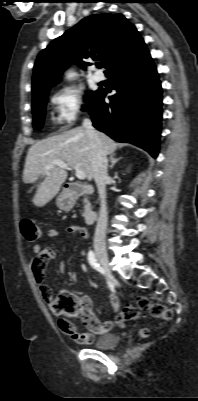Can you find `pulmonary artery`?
Wrapping results in <instances>:
<instances>
[{"label":"pulmonary artery","instance_id":"e3ab8cb5","mask_svg":"<svg viewBox=\"0 0 198 401\" xmlns=\"http://www.w3.org/2000/svg\"><path fill=\"white\" fill-rule=\"evenodd\" d=\"M93 80L96 83H100V82H102L104 80V76H103V74L101 72L95 71L94 74H93Z\"/></svg>","mask_w":198,"mask_h":401}]
</instances>
